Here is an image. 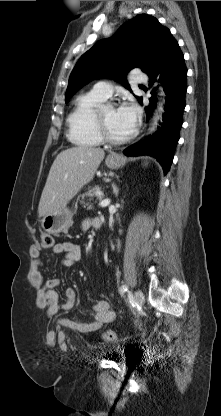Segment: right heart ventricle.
<instances>
[{
  "mask_svg": "<svg viewBox=\"0 0 221 416\" xmlns=\"http://www.w3.org/2000/svg\"><path fill=\"white\" fill-rule=\"evenodd\" d=\"M105 98L88 91L80 94L70 112L68 138L79 146H99L103 143L96 127V111Z\"/></svg>",
  "mask_w": 221,
  "mask_h": 416,
  "instance_id": "right-heart-ventricle-1",
  "label": "right heart ventricle"
}]
</instances>
